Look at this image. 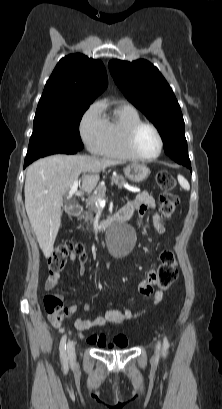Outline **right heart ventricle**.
<instances>
[{
    "label": "right heart ventricle",
    "mask_w": 222,
    "mask_h": 409,
    "mask_svg": "<svg viewBox=\"0 0 222 409\" xmlns=\"http://www.w3.org/2000/svg\"><path fill=\"white\" fill-rule=\"evenodd\" d=\"M142 121L139 112L129 104L117 105L112 114L105 118L106 131L99 155L117 160L135 159L126 147V134L129 128Z\"/></svg>",
    "instance_id": "1"
}]
</instances>
